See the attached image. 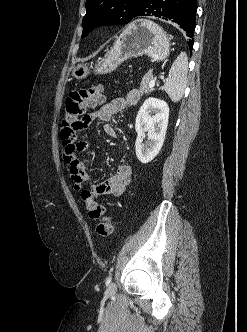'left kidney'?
I'll return each mask as SVG.
<instances>
[{"label":"left kidney","mask_w":247,"mask_h":332,"mask_svg":"<svg viewBox=\"0 0 247 332\" xmlns=\"http://www.w3.org/2000/svg\"><path fill=\"white\" fill-rule=\"evenodd\" d=\"M150 113H153L151 116ZM169 107L160 99L148 98L141 106L135 123L137 139L135 142L136 156L141 163H149L160 152L168 126ZM145 132L149 142L144 144Z\"/></svg>","instance_id":"5707ae66"}]
</instances>
